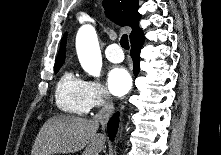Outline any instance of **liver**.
Instances as JSON below:
<instances>
[{
  "instance_id": "liver-1",
  "label": "liver",
  "mask_w": 221,
  "mask_h": 155,
  "mask_svg": "<svg viewBox=\"0 0 221 155\" xmlns=\"http://www.w3.org/2000/svg\"><path fill=\"white\" fill-rule=\"evenodd\" d=\"M99 123L75 116L56 115L40 129L31 155L68 154L83 150V155H99L105 136L98 134Z\"/></svg>"
}]
</instances>
